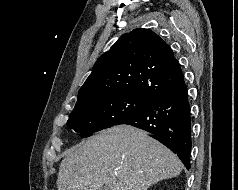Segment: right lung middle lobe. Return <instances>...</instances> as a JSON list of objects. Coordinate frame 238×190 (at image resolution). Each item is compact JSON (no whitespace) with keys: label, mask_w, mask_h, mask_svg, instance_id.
<instances>
[{"label":"right lung middle lobe","mask_w":238,"mask_h":190,"mask_svg":"<svg viewBox=\"0 0 238 190\" xmlns=\"http://www.w3.org/2000/svg\"><path fill=\"white\" fill-rule=\"evenodd\" d=\"M152 100L133 94L96 97L76 104L67 126L88 137L111 127L148 106Z\"/></svg>","instance_id":"1"}]
</instances>
